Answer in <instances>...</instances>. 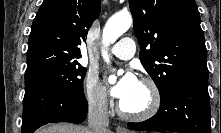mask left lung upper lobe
Segmentation results:
<instances>
[{
	"label": "left lung upper lobe",
	"instance_id": "obj_1",
	"mask_svg": "<svg viewBox=\"0 0 221 133\" xmlns=\"http://www.w3.org/2000/svg\"><path fill=\"white\" fill-rule=\"evenodd\" d=\"M140 60L160 96L186 78L208 80L207 49L194 0H129Z\"/></svg>",
	"mask_w": 221,
	"mask_h": 133
}]
</instances>
